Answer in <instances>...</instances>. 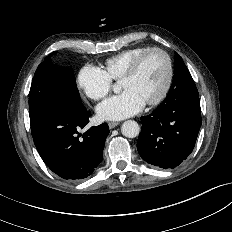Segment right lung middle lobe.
I'll return each instance as SVG.
<instances>
[{
	"mask_svg": "<svg viewBox=\"0 0 232 232\" xmlns=\"http://www.w3.org/2000/svg\"><path fill=\"white\" fill-rule=\"evenodd\" d=\"M56 52L49 54L39 64L29 92V116L32 132L36 131L43 122L44 117L50 112L54 100L65 97L71 103L81 106L82 101L78 92L74 73L71 69L57 70L52 64L51 57Z\"/></svg>",
	"mask_w": 232,
	"mask_h": 232,
	"instance_id": "right-lung-middle-lobe-1",
	"label": "right lung middle lobe"
}]
</instances>
